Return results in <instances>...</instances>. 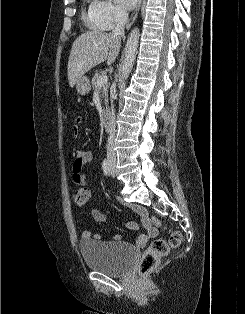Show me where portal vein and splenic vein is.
I'll return each mask as SVG.
<instances>
[{"label": "portal vein and splenic vein", "instance_id": "1", "mask_svg": "<svg viewBox=\"0 0 245 314\" xmlns=\"http://www.w3.org/2000/svg\"><path fill=\"white\" fill-rule=\"evenodd\" d=\"M108 81V76L107 75H101L98 80H97V86L101 87L105 85Z\"/></svg>", "mask_w": 245, "mask_h": 314}]
</instances>
